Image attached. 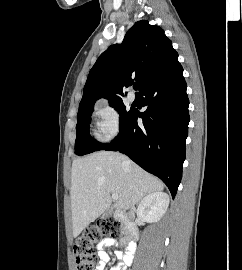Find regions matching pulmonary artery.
I'll return each instance as SVG.
<instances>
[{
    "label": "pulmonary artery",
    "instance_id": "e3ab8cb5",
    "mask_svg": "<svg viewBox=\"0 0 242 270\" xmlns=\"http://www.w3.org/2000/svg\"><path fill=\"white\" fill-rule=\"evenodd\" d=\"M128 99L133 102L135 100V93L133 91H130L128 93Z\"/></svg>",
    "mask_w": 242,
    "mask_h": 270
}]
</instances>
